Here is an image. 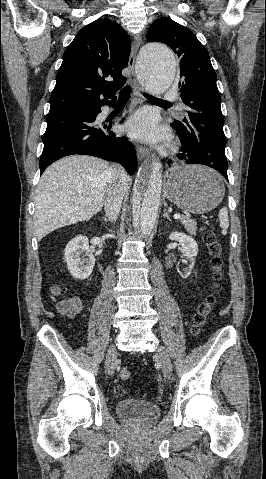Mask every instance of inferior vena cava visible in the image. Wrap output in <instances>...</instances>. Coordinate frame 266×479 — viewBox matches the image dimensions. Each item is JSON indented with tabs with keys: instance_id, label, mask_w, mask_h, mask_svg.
Listing matches in <instances>:
<instances>
[{
	"instance_id": "inferior-vena-cava-1",
	"label": "inferior vena cava",
	"mask_w": 266,
	"mask_h": 479,
	"mask_svg": "<svg viewBox=\"0 0 266 479\" xmlns=\"http://www.w3.org/2000/svg\"><path fill=\"white\" fill-rule=\"evenodd\" d=\"M111 173L112 178L106 193L104 211L109 220L115 221L120 213L128 175L121 166L117 165L111 168Z\"/></svg>"
}]
</instances>
